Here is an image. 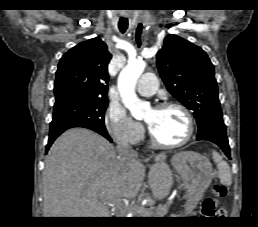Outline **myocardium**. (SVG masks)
Masks as SVG:
<instances>
[{"mask_svg": "<svg viewBox=\"0 0 258 227\" xmlns=\"http://www.w3.org/2000/svg\"><path fill=\"white\" fill-rule=\"evenodd\" d=\"M166 108H176L185 115L187 124H188L187 134L182 140H180L178 142L165 143V142L160 141L149 127L148 130H149V136H150L151 143L153 146H155L157 148H162V149H172V148L181 147V146L185 145L186 143H188L194 135L195 122H194L193 115L186 106H184L183 104H180L178 102L164 101V102L157 104L154 107L155 110H162V109H166Z\"/></svg>", "mask_w": 258, "mask_h": 227, "instance_id": "1", "label": "myocardium"}]
</instances>
